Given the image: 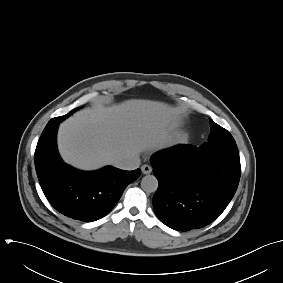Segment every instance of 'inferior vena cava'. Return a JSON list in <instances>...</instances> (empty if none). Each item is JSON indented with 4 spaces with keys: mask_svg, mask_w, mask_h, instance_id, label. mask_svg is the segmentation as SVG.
<instances>
[{
    "mask_svg": "<svg viewBox=\"0 0 283 283\" xmlns=\"http://www.w3.org/2000/svg\"><path fill=\"white\" fill-rule=\"evenodd\" d=\"M113 165L123 170H134L139 167L140 158L136 155L121 157Z\"/></svg>",
    "mask_w": 283,
    "mask_h": 283,
    "instance_id": "1",
    "label": "inferior vena cava"
}]
</instances>
